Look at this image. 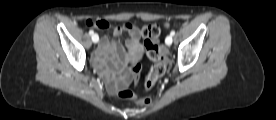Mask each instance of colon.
Returning <instances> with one entry per match:
<instances>
[{"label":"colon","mask_w":276,"mask_h":120,"mask_svg":"<svg viewBox=\"0 0 276 120\" xmlns=\"http://www.w3.org/2000/svg\"><path fill=\"white\" fill-rule=\"evenodd\" d=\"M88 25H94L92 21L87 22ZM141 35L144 39V46L146 49L147 56L154 61L149 74L146 77L144 88L150 90L154 87L156 82L164 75L167 69L168 59L165 51L163 50L159 36L160 27L157 24H149L142 28ZM141 71V64L135 62L131 65V72L134 81L137 82ZM118 98L124 100H134L136 104L140 106H147L150 103L148 97L136 98L135 95L129 90H121L117 94Z\"/></svg>","instance_id":"obj_1"}]
</instances>
